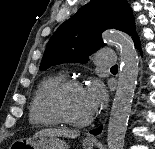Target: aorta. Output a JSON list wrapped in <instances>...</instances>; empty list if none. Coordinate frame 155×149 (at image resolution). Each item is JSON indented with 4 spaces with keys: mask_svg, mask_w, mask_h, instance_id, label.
Returning <instances> with one entry per match:
<instances>
[{
    "mask_svg": "<svg viewBox=\"0 0 155 149\" xmlns=\"http://www.w3.org/2000/svg\"><path fill=\"white\" fill-rule=\"evenodd\" d=\"M103 40L116 45L121 56L118 86L107 130V145L108 149H123L139 72V59L134 43L128 35L117 31H107L103 34Z\"/></svg>",
    "mask_w": 155,
    "mask_h": 149,
    "instance_id": "aorta-1",
    "label": "aorta"
}]
</instances>
